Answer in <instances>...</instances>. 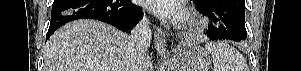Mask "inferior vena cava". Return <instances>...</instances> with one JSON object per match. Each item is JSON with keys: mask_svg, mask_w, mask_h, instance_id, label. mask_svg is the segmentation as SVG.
Returning a JSON list of instances; mask_svg holds the SVG:
<instances>
[{"mask_svg": "<svg viewBox=\"0 0 301 71\" xmlns=\"http://www.w3.org/2000/svg\"><path fill=\"white\" fill-rule=\"evenodd\" d=\"M152 39L151 29L149 27V20L143 18L131 30V52L125 67V71H144L143 56L150 45Z\"/></svg>", "mask_w": 301, "mask_h": 71, "instance_id": "602c4592", "label": "inferior vena cava"}]
</instances>
